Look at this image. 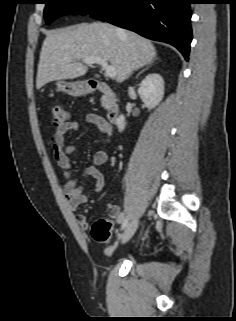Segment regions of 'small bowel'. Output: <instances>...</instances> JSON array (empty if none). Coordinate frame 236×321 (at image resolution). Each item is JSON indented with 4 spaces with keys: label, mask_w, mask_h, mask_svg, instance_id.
Instances as JSON below:
<instances>
[{
    "label": "small bowel",
    "mask_w": 236,
    "mask_h": 321,
    "mask_svg": "<svg viewBox=\"0 0 236 321\" xmlns=\"http://www.w3.org/2000/svg\"><path fill=\"white\" fill-rule=\"evenodd\" d=\"M87 124L93 125L97 128L100 134L106 137V142H111L113 135L112 124L102 116L90 113L85 117ZM79 128L76 121L69 120L64 125L57 126L56 131L52 138V146L54 157L57 161L59 168L62 170L65 183H64V196L71 210H76L79 206L88 203L93 195L101 193L105 187V177L103 173L98 170L96 165L104 164L108 159V151L100 150L94 155V164L87 166L83 173V178H93L95 180L93 195L86 192L85 186L79 184L72 176V164L70 160L71 153L75 150L72 144H66L65 137L68 133L74 132ZM109 217L121 222L123 213L117 204L109 203L107 205ZM76 222L83 229L89 228V221L83 214L76 215Z\"/></svg>",
    "instance_id": "1"
}]
</instances>
